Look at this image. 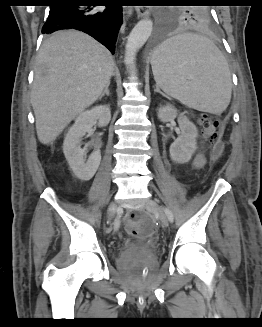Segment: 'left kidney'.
Returning <instances> with one entry per match:
<instances>
[{
  "label": "left kidney",
  "mask_w": 262,
  "mask_h": 327,
  "mask_svg": "<svg viewBox=\"0 0 262 327\" xmlns=\"http://www.w3.org/2000/svg\"><path fill=\"white\" fill-rule=\"evenodd\" d=\"M178 117L181 135L170 146L172 161L184 164L191 160L197 149L198 130L194 123L183 114L178 115L177 110L171 106H163L158 109V119L161 122H169Z\"/></svg>",
  "instance_id": "obj_1"
}]
</instances>
